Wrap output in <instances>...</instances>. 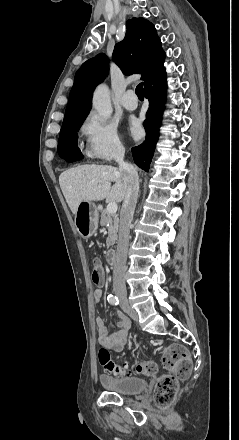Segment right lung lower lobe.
I'll return each instance as SVG.
<instances>
[{
  "label": "right lung lower lobe",
  "mask_w": 239,
  "mask_h": 440,
  "mask_svg": "<svg viewBox=\"0 0 239 440\" xmlns=\"http://www.w3.org/2000/svg\"><path fill=\"white\" fill-rule=\"evenodd\" d=\"M144 86L145 97L149 100V109L143 124L146 131V139L142 144L132 148V155L134 162L147 171L158 140L161 113L164 109L163 104L166 95L165 68L147 80ZM59 156L68 162H74L83 158L77 146L63 151Z\"/></svg>",
  "instance_id": "right-lung-lower-lobe-1"
}]
</instances>
